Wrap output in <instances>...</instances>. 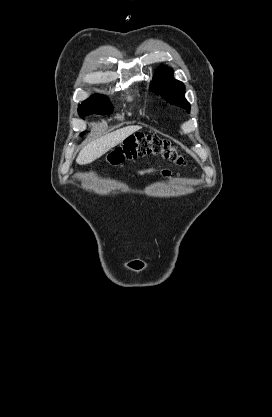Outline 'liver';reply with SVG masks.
Segmentation results:
<instances>
[{
  "mask_svg": "<svg viewBox=\"0 0 272 417\" xmlns=\"http://www.w3.org/2000/svg\"><path fill=\"white\" fill-rule=\"evenodd\" d=\"M141 129V126L131 125L123 127L109 134H106L82 148L77 156L76 162L79 165L90 164L96 159L100 158L111 148L115 147L134 132Z\"/></svg>",
  "mask_w": 272,
  "mask_h": 417,
  "instance_id": "1",
  "label": "liver"
}]
</instances>
